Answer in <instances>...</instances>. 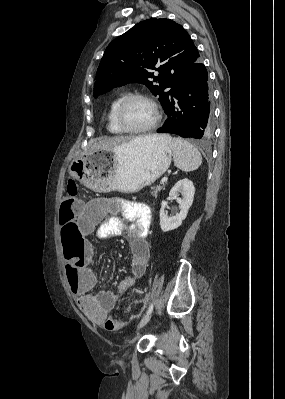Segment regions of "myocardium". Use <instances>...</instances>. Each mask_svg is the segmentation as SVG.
I'll list each match as a JSON object with an SVG mask.
<instances>
[{
	"label": "myocardium",
	"mask_w": 285,
	"mask_h": 399,
	"mask_svg": "<svg viewBox=\"0 0 285 399\" xmlns=\"http://www.w3.org/2000/svg\"><path fill=\"white\" fill-rule=\"evenodd\" d=\"M135 100L147 101L148 103H150L152 105V107L154 108V111H155L154 120L150 124H148L144 127H141V128L129 127L126 124L125 118H124L125 110L129 106V104ZM160 121H161L160 107H159L158 103L151 96H149L147 94H142V93L130 94L120 103V105L117 109L118 125L121 127V129H123L127 133H135V134L146 133V132L154 129L160 123Z\"/></svg>",
	"instance_id": "obj_1"
}]
</instances>
